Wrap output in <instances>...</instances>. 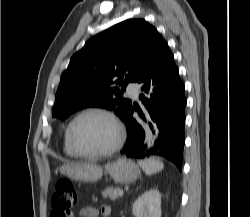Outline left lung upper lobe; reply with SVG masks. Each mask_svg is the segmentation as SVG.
I'll list each match as a JSON object with an SVG mask.
<instances>
[{
  "instance_id": "obj_1",
  "label": "left lung upper lobe",
  "mask_w": 250,
  "mask_h": 217,
  "mask_svg": "<svg viewBox=\"0 0 250 217\" xmlns=\"http://www.w3.org/2000/svg\"><path fill=\"white\" fill-rule=\"evenodd\" d=\"M163 40L143 19L122 21L88 40L61 76L52 115L64 120L94 106L114 110L124 121L132 102L120 95L150 67Z\"/></svg>"
}]
</instances>
